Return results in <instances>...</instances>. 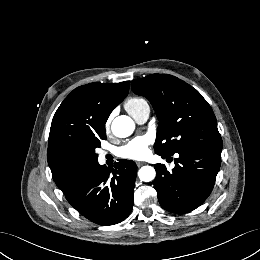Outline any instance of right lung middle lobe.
<instances>
[{"label":"right lung middle lobe","instance_id":"right-lung-middle-lobe-1","mask_svg":"<svg viewBox=\"0 0 260 260\" xmlns=\"http://www.w3.org/2000/svg\"><path fill=\"white\" fill-rule=\"evenodd\" d=\"M101 139H106L105 129H103L98 135L92 137L86 146V161L89 168L98 164V155L95 153V149L100 147Z\"/></svg>","mask_w":260,"mask_h":260}]
</instances>
